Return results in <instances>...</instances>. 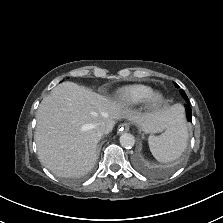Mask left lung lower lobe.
<instances>
[{
  "instance_id": "1",
  "label": "left lung lower lobe",
  "mask_w": 223,
  "mask_h": 223,
  "mask_svg": "<svg viewBox=\"0 0 223 223\" xmlns=\"http://www.w3.org/2000/svg\"><path fill=\"white\" fill-rule=\"evenodd\" d=\"M186 102L187 103L184 106H185V109H186L187 120L191 121L192 120V110L190 108L189 100H186Z\"/></svg>"
}]
</instances>
